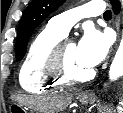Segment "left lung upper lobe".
I'll return each mask as SVG.
<instances>
[{"mask_svg":"<svg viewBox=\"0 0 123 113\" xmlns=\"http://www.w3.org/2000/svg\"><path fill=\"white\" fill-rule=\"evenodd\" d=\"M65 0H32L23 13L17 32L16 58L21 60L27 49V42L36 27Z\"/></svg>","mask_w":123,"mask_h":113,"instance_id":"left-lung-upper-lobe-1","label":"left lung upper lobe"}]
</instances>
